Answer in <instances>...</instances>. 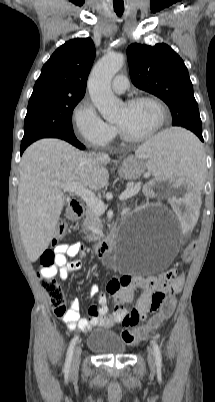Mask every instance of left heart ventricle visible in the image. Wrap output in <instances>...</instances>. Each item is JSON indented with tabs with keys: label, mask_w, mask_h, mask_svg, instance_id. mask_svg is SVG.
Masks as SVG:
<instances>
[{
	"label": "left heart ventricle",
	"mask_w": 215,
	"mask_h": 402,
	"mask_svg": "<svg viewBox=\"0 0 215 402\" xmlns=\"http://www.w3.org/2000/svg\"><path fill=\"white\" fill-rule=\"evenodd\" d=\"M159 117L158 108L153 103L144 101L131 106L123 104L115 122L128 134L142 136L157 126Z\"/></svg>",
	"instance_id": "b2bd125f"
}]
</instances>
